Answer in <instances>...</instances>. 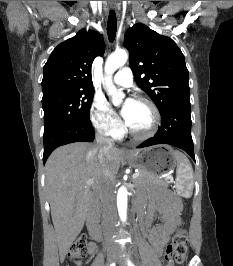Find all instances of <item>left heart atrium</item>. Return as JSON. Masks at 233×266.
I'll return each mask as SVG.
<instances>
[{
	"label": "left heart atrium",
	"mask_w": 233,
	"mask_h": 266,
	"mask_svg": "<svg viewBox=\"0 0 233 266\" xmlns=\"http://www.w3.org/2000/svg\"><path fill=\"white\" fill-rule=\"evenodd\" d=\"M136 101L133 99H127L122 110L121 115L125 121V123L129 126L133 119V111H134V105Z\"/></svg>",
	"instance_id": "obj_1"
}]
</instances>
